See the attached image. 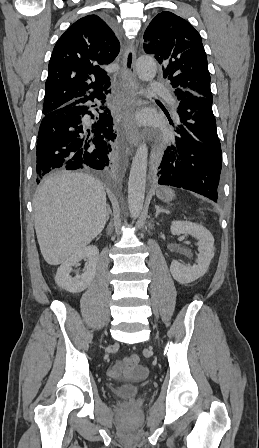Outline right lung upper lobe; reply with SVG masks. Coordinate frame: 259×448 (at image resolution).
<instances>
[{
    "mask_svg": "<svg viewBox=\"0 0 259 448\" xmlns=\"http://www.w3.org/2000/svg\"><path fill=\"white\" fill-rule=\"evenodd\" d=\"M119 50L113 30L99 16L87 15L73 23L58 39L49 61L43 114L106 93L110 78L104 68Z\"/></svg>",
    "mask_w": 259,
    "mask_h": 448,
    "instance_id": "obj_1",
    "label": "right lung upper lobe"
}]
</instances>
